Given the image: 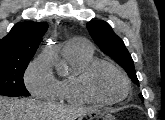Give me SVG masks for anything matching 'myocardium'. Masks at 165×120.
<instances>
[{"mask_svg": "<svg viewBox=\"0 0 165 120\" xmlns=\"http://www.w3.org/2000/svg\"><path fill=\"white\" fill-rule=\"evenodd\" d=\"M104 66L114 69L123 79L125 89L122 96L118 98L106 99L99 96L95 92L93 88V84H92L93 77L95 73L97 72V70ZM79 86H80L81 92L83 93L85 97H87L91 101L102 103V104H115V103L121 102L127 97L130 91V81H129L128 76L124 72V70L116 63L112 61H108V60H94L93 62H91L83 70L81 74Z\"/></svg>", "mask_w": 165, "mask_h": 120, "instance_id": "1", "label": "myocardium"}]
</instances>
